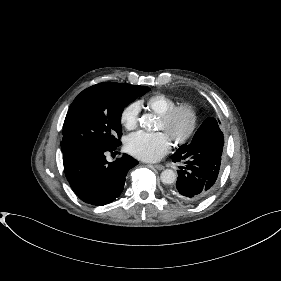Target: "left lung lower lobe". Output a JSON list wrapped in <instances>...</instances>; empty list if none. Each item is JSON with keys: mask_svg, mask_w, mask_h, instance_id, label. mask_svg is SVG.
Returning <instances> with one entry per match:
<instances>
[{"mask_svg": "<svg viewBox=\"0 0 281 281\" xmlns=\"http://www.w3.org/2000/svg\"><path fill=\"white\" fill-rule=\"evenodd\" d=\"M223 133L218 122L208 117L195 133L190 144L174 153L173 162L179 166L178 180L172 193L186 203H198L214 189L221 166Z\"/></svg>", "mask_w": 281, "mask_h": 281, "instance_id": "left-lung-lower-lobe-1", "label": "left lung lower lobe"}]
</instances>
